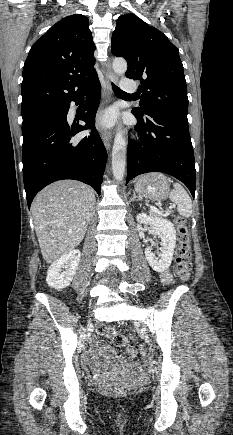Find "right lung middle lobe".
Here are the masks:
<instances>
[{
  "instance_id": "dd1d6c3e",
  "label": "right lung middle lobe",
  "mask_w": 233,
  "mask_h": 435,
  "mask_svg": "<svg viewBox=\"0 0 233 435\" xmlns=\"http://www.w3.org/2000/svg\"><path fill=\"white\" fill-rule=\"evenodd\" d=\"M62 108H63V107H58V108H53V109L44 110V111H41V112H38V113H34V114H31V115H27V116H22V117H23V122H22V124L29 123V122H31V121H33V120H36V119H38V118H40V117H42V116H44V115H46V114H48V113H51V112H54V111L60 110V109H62Z\"/></svg>"
}]
</instances>
